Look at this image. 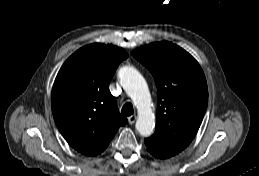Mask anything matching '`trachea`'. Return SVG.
I'll return each instance as SVG.
<instances>
[{"label": "trachea", "mask_w": 259, "mask_h": 176, "mask_svg": "<svg viewBox=\"0 0 259 176\" xmlns=\"http://www.w3.org/2000/svg\"><path fill=\"white\" fill-rule=\"evenodd\" d=\"M122 114H124L125 116H130L133 114V106L130 102H127L123 105L122 109H121Z\"/></svg>", "instance_id": "obj_1"}]
</instances>
